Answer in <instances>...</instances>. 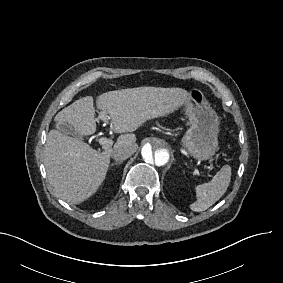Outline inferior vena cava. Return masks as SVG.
Returning <instances> with one entry per match:
<instances>
[{"mask_svg":"<svg viewBox=\"0 0 283 283\" xmlns=\"http://www.w3.org/2000/svg\"><path fill=\"white\" fill-rule=\"evenodd\" d=\"M134 153V149L131 146L128 145H118L114 146V148L111 150V156L116 161L122 162L129 158Z\"/></svg>","mask_w":283,"mask_h":283,"instance_id":"602c4592","label":"inferior vena cava"}]
</instances>
